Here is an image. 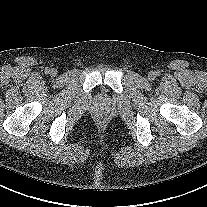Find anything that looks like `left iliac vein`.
I'll return each mask as SVG.
<instances>
[{
    "mask_svg": "<svg viewBox=\"0 0 207 207\" xmlns=\"http://www.w3.org/2000/svg\"><path fill=\"white\" fill-rule=\"evenodd\" d=\"M155 76H156V74L153 71H151V72L148 73V79L149 80H153L155 78Z\"/></svg>",
    "mask_w": 207,
    "mask_h": 207,
    "instance_id": "obj_1",
    "label": "left iliac vein"
}]
</instances>
